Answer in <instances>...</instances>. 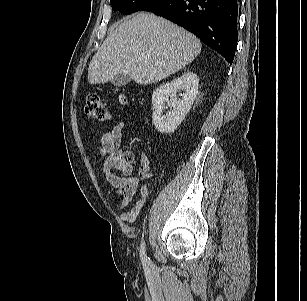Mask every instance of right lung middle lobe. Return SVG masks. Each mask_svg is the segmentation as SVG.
<instances>
[{
	"label": "right lung middle lobe",
	"mask_w": 307,
	"mask_h": 301,
	"mask_svg": "<svg viewBox=\"0 0 307 301\" xmlns=\"http://www.w3.org/2000/svg\"><path fill=\"white\" fill-rule=\"evenodd\" d=\"M156 0H110L114 11H120L123 14H131L141 11L143 8Z\"/></svg>",
	"instance_id": "dd1d6c3e"
}]
</instances>
